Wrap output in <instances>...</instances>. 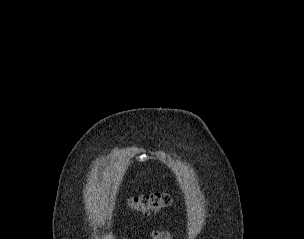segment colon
<instances>
[{"mask_svg": "<svg viewBox=\"0 0 304 239\" xmlns=\"http://www.w3.org/2000/svg\"><path fill=\"white\" fill-rule=\"evenodd\" d=\"M174 200L168 193L152 192L132 197L128 200V206L144 215H150L161 209L172 206Z\"/></svg>", "mask_w": 304, "mask_h": 239, "instance_id": "colon-1", "label": "colon"}]
</instances>
